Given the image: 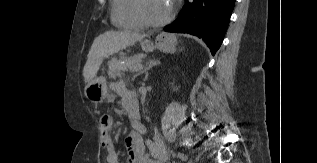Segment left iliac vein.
<instances>
[{"label":"left iliac vein","mask_w":317,"mask_h":163,"mask_svg":"<svg viewBox=\"0 0 317 163\" xmlns=\"http://www.w3.org/2000/svg\"><path fill=\"white\" fill-rule=\"evenodd\" d=\"M165 159H166V157H165V156H162V157H161V160H165Z\"/></svg>","instance_id":"left-iliac-vein-1"}]
</instances>
